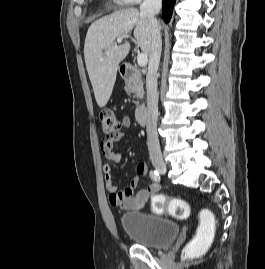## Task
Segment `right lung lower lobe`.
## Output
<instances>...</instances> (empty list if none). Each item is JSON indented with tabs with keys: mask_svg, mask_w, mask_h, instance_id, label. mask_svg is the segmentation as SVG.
Wrapping results in <instances>:
<instances>
[{
	"mask_svg": "<svg viewBox=\"0 0 265 269\" xmlns=\"http://www.w3.org/2000/svg\"><path fill=\"white\" fill-rule=\"evenodd\" d=\"M176 0H163V7H162V16L165 20V22H169L172 13H173V7L175 5Z\"/></svg>",
	"mask_w": 265,
	"mask_h": 269,
	"instance_id": "1",
	"label": "right lung lower lobe"
}]
</instances>
